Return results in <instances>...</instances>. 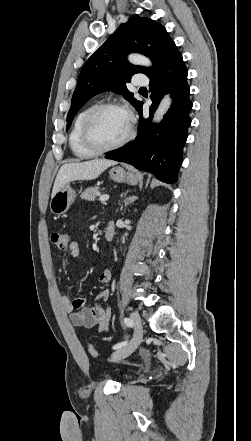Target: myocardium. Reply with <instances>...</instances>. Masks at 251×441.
<instances>
[{
	"label": "myocardium",
	"instance_id": "obj_1",
	"mask_svg": "<svg viewBox=\"0 0 251 441\" xmlns=\"http://www.w3.org/2000/svg\"><path fill=\"white\" fill-rule=\"evenodd\" d=\"M106 109H118L124 111L129 120V126H128V132L127 134L118 142L109 145V146H99L97 145L91 138L90 135V124L93 120V118L98 114L99 112L106 110ZM134 136V118L131 112L125 108L124 106L116 103V102H103L96 104L92 106L87 113L85 114L82 124H81V130H80V139L85 148H87L89 151L95 153V154H102L106 152H110L116 149L121 148L125 144H127Z\"/></svg>",
	"mask_w": 251,
	"mask_h": 441
}]
</instances>
